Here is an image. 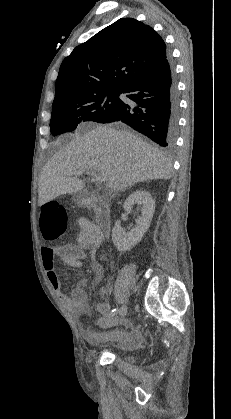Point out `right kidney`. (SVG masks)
Segmentation results:
<instances>
[{"mask_svg": "<svg viewBox=\"0 0 231 419\" xmlns=\"http://www.w3.org/2000/svg\"><path fill=\"white\" fill-rule=\"evenodd\" d=\"M141 206V216L136 221V226L129 233H126L117 220L112 229V241L120 252H126L138 244L145 232L150 227V223L155 211V201L151 194L145 190H136L125 200L123 208L126 212H131L133 206Z\"/></svg>", "mask_w": 231, "mask_h": 419, "instance_id": "ca27d5eb", "label": "right kidney"}]
</instances>
